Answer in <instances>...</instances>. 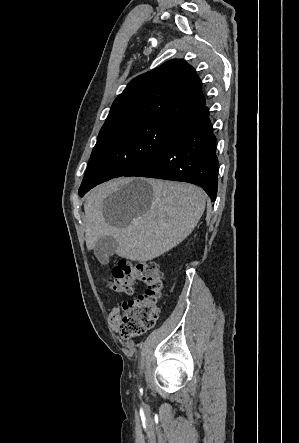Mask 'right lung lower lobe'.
I'll return each mask as SVG.
<instances>
[{
	"label": "right lung lower lobe",
	"instance_id": "98d812e1",
	"mask_svg": "<svg viewBox=\"0 0 299 443\" xmlns=\"http://www.w3.org/2000/svg\"><path fill=\"white\" fill-rule=\"evenodd\" d=\"M216 138L203 105L181 120L175 135L153 156L124 176L151 177L201 186L212 201L217 194Z\"/></svg>",
	"mask_w": 299,
	"mask_h": 443
}]
</instances>
